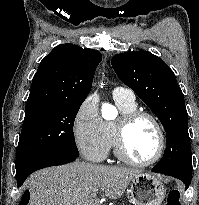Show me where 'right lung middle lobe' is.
Segmentation results:
<instances>
[{
    "instance_id": "obj_1",
    "label": "right lung middle lobe",
    "mask_w": 199,
    "mask_h": 205,
    "mask_svg": "<svg viewBox=\"0 0 199 205\" xmlns=\"http://www.w3.org/2000/svg\"><path fill=\"white\" fill-rule=\"evenodd\" d=\"M82 102L56 103L26 111L16 153V172L49 156H79L73 126Z\"/></svg>"
}]
</instances>
